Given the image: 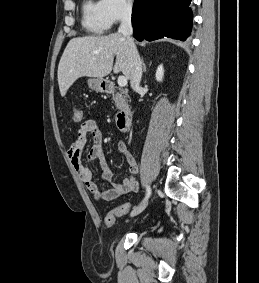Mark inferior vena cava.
I'll return each instance as SVG.
<instances>
[{
    "label": "inferior vena cava",
    "instance_id": "inferior-vena-cava-1",
    "mask_svg": "<svg viewBox=\"0 0 259 283\" xmlns=\"http://www.w3.org/2000/svg\"><path fill=\"white\" fill-rule=\"evenodd\" d=\"M132 9L130 6H125L122 11L121 24L118 29V33L123 35L128 47L130 56V84L134 91H138L140 88V82L142 77V63L136 49L135 43L131 37L133 28L131 24Z\"/></svg>",
    "mask_w": 259,
    "mask_h": 283
}]
</instances>
